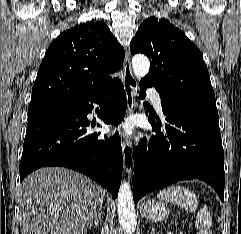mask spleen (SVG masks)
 <instances>
[{"label": "spleen", "instance_id": "3e777b00", "mask_svg": "<svg viewBox=\"0 0 241 234\" xmlns=\"http://www.w3.org/2000/svg\"><path fill=\"white\" fill-rule=\"evenodd\" d=\"M157 198L169 201L190 212L195 211L198 206L196 195L189 189L180 185H172L166 189H163L157 194ZM211 225V214L207 207L204 206L196 215L195 226L198 229L197 234H212L210 230Z\"/></svg>", "mask_w": 241, "mask_h": 234}]
</instances>
